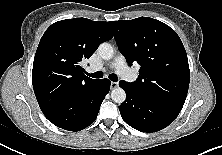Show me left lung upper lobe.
<instances>
[{
  "label": "left lung upper lobe",
  "instance_id": "obj_1",
  "mask_svg": "<svg viewBox=\"0 0 222 155\" xmlns=\"http://www.w3.org/2000/svg\"><path fill=\"white\" fill-rule=\"evenodd\" d=\"M119 51L129 65H141L136 81L128 83L138 93L182 108L190 70L185 48L168 25L149 17L111 21Z\"/></svg>",
  "mask_w": 222,
  "mask_h": 155
}]
</instances>
